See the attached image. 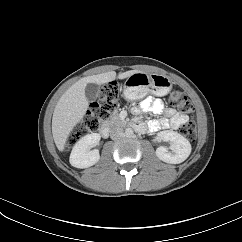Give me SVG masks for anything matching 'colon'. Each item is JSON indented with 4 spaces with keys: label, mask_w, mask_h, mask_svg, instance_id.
<instances>
[{
    "label": "colon",
    "mask_w": 242,
    "mask_h": 242,
    "mask_svg": "<svg viewBox=\"0 0 242 242\" xmlns=\"http://www.w3.org/2000/svg\"><path fill=\"white\" fill-rule=\"evenodd\" d=\"M120 96V87L116 82L106 84L99 93L98 101L91 104L84 119L72 130L66 141V146L72 147L84 136L96 132L116 109ZM168 104L186 113L193 112V106L179 90H174L168 97ZM181 133L190 141L196 137L195 125L191 121L181 128Z\"/></svg>",
    "instance_id": "obj_1"
}]
</instances>
